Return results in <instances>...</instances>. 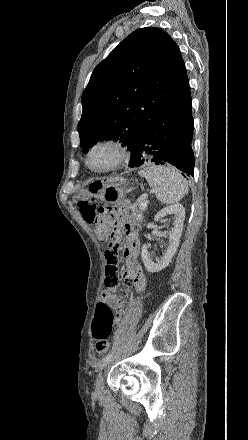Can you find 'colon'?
<instances>
[{
    "label": "colon",
    "instance_id": "colon-1",
    "mask_svg": "<svg viewBox=\"0 0 248 440\" xmlns=\"http://www.w3.org/2000/svg\"><path fill=\"white\" fill-rule=\"evenodd\" d=\"M99 188L100 184L98 182L90 184V190L92 192H96ZM78 206L83 218L94 225L99 239L108 242L105 259L108 257H119V251L122 249V246L114 233L113 223L105 217V211L91 204L88 200H81ZM114 319L113 312L109 305L104 301H99L96 306L92 333L96 340V351L100 355L108 351L109 336L114 325Z\"/></svg>",
    "mask_w": 248,
    "mask_h": 440
}]
</instances>
